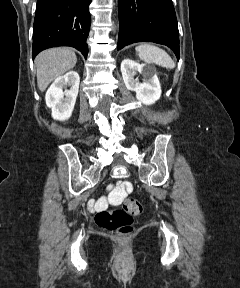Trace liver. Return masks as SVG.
<instances>
[{
	"instance_id": "6515ba94",
	"label": "liver",
	"mask_w": 240,
	"mask_h": 288,
	"mask_svg": "<svg viewBox=\"0 0 240 288\" xmlns=\"http://www.w3.org/2000/svg\"><path fill=\"white\" fill-rule=\"evenodd\" d=\"M76 62V54L69 48L59 47L42 51L36 57L39 90L44 92L53 80L74 68Z\"/></svg>"
}]
</instances>
